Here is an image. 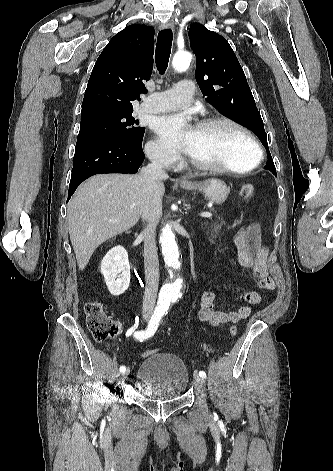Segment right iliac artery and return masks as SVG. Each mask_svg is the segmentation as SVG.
<instances>
[{
    "label": "right iliac artery",
    "mask_w": 333,
    "mask_h": 471,
    "mask_svg": "<svg viewBox=\"0 0 333 471\" xmlns=\"http://www.w3.org/2000/svg\"><path fill=\"white\" fill-rule=\"evenodd\" d=\"M161 317H162V313L160 312H154V314L152 315L149 323H148V327L146 330H143V331H136L134 333V337L136 339H138L139 341H143L147 338H150L154 335V333L156 332L157 328H158V325H159V322L161 320ZM131 333H129L130 335ZM126 370V367L125 366H121L120 367V372H124Z\"/></svg>",
    "instance_id": "right-iliac-artery-1"
}]
</instances>
